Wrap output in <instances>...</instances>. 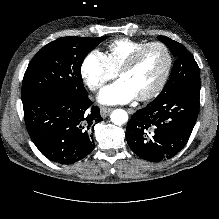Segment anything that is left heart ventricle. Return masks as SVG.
<instances>
[{
    "label": "left heart ventricle",
    "mask_w": 219,
    "mask_h": 219,
    "mask_svg": "<svg viewBox=\"0 0 219 219\" xmlns=\"http://www.w3.org/2000/svg\"><path fill=\"white\" fill-rule=\"evenodd\" d=\"M167 65V56L161 47L147 49L136 65L123 72L120 79L125 80L136 96L150 91L162 77Z\"/></svg>",
    "instance_id": "obj_1"
}]
</instances>
